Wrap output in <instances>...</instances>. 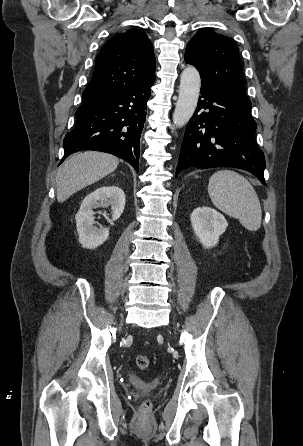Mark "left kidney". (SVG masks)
Listing matches in <instances>:
<instances>
[{"mask_svg": "<svg viewBox=\"0 0 303 446\" xmlns=\"http://www.w3.org/2000/svg\"><path fill=\"white\" fill-rule=\"evenodd\" d=\"M190 219L196 236L205 248L217 245L220 235L225 232L228 226L221 213L207 206L195 208Z\"/></svg>", "mask_w": 303, "mask_h": 446, "instance_id": "left-kidney-1", "label": "left kidney"}]
</instances>
